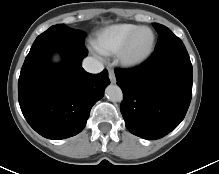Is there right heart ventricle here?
I'll use <instances>...</instances> for the list:
<instances>
[{"mask_svg":"<svg viewBox=\"0 0 219 174\" xmlns=\"http://www.w3.org/2000/svg\"><path fill=\"white\" fill-rule=\"evenodd\" d=\"M138 27L131 23L109 25L97 33L93 46L104 55L116 54L128 36Z\"/></svg>","mask_w":219,"mask_h":174,"instance_id":"e07e8e85","label":"right heart ventricle"}]
</instances>
